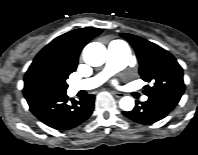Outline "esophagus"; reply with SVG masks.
Masks as SVG:
<instances>
[{
    "label": "esophagus",
    "mask_w": 198,
    "mask_h": 155,
    "mask_svg": "<svg viewBox=\"0 0 198 155\" xmlns=\"http://www.w3.org/2000/svg\"><path fill=\"white\" fill-rule=\"evenodd\" d=\"M112 94L115 96V97H117V98H121V97H123V93H120V92H116V91H112Z\"/></svg>",
    "instance_id": "esophagus-1"
}]
</instances>
